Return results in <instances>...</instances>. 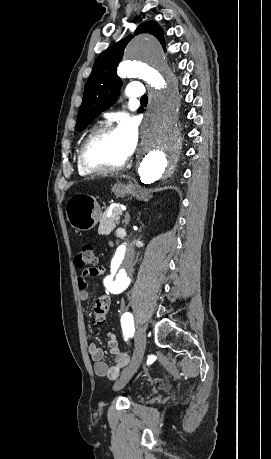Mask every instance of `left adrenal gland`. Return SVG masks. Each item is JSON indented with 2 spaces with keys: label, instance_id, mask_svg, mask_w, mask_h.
<instances>
[{
  "label": "left adrenal gland",
  "instance_id": "a2214340",
  "mask_svg": "<svg viewBox=\"0 0 271 459\" xmlns=\"http://www.w3.org/2000/svg\"><path fill=\"white\" fill-rule=\"evenodd\" d=\"M123 222H125V224H129L130 222L129 212H126Z\"/></svg>",
  "mask_w": 271,
  "mask_h": 459
}]
</instances>
